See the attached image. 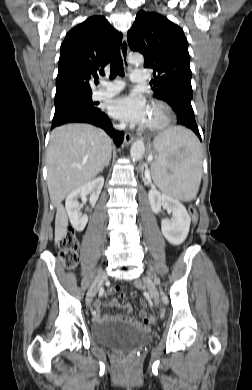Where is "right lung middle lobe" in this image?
Wrapping results in <instances>:
<instances>
[{
    "label": "right lung middle lobe",
    "instance_id": "obj_1",
    "mask_svg": "<svg viewBox=\"0 0 252 390\" xmlns=\"http://www.w3.org/2000/svg\"><path fill=\"white\" fill-rule=\"evenodd\" d=\"M91 95H80L71 97L64 100L55 101V109L67 107V106H81L89 109H97V103L93 102Z\"/></svg>",
    "mask_w": 252,
    "mask_h": 390
}]
</instances>
